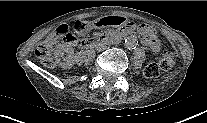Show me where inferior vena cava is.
Here are the masks:
<instances>
[{
	"label": "inferior vena cava",
	"mask_w": 207,
	"mask_h": 123,
	"mask_svg": "<svg viewBox=\"0 0 207 123\" xmlns=\"http://www.w3.org/2000/svg\"><path fill=\"white\" fill-rule=\"evenodd\" d=\"M104 49H106V45H103V46L100 48V50H104Z\"/></svg>",
	"instance_id": "1"
}]
</instances>
